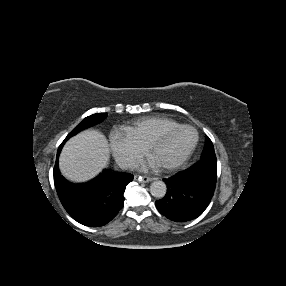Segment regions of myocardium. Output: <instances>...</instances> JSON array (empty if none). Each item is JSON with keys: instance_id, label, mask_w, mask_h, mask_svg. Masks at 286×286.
Returning a JSON list of instances; mask_svg holds the SVG:
<instances>
[{"instance_id": "myocardium-1", "label": "myocardium", "mask_w": 286, "mask_h": 286, "mask_svg": "<svg viewBox=\"0 0 286 286\" xmlns=\"http://www.w3.org/2000/svg\"><path fill=\"white\" fill-rule=\"evenodd\" d=\"M193 129L196 133V140L194 145L192 146V148L179 160L175 161V162H171V163H167V164H162L161 168L163 170L166 171H172V170H176L180 167H182L183 165H185L194 155L198 143H199V133L197 131V129L192 126V125H180L177 128L171 129L169 131H166L156 137H154L153 139H151L147 145H146V151L151 155L152 151L157 148L158 146L164 144L165 142H167L170 138H172L174 135H176L177 133H179L180 131L184 130V129Z\"/></svg>"}]
</instances>
